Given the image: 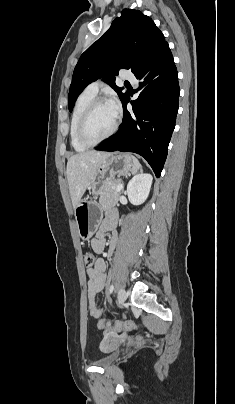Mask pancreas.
<instances>
[{
	"label": "pancreas",
	"instance_id": "pancreas-1",
	"mask_svg": "<svg viewBox=\"0 0 235 404\" xmlns=\"http://www.w3.org/2000/svg\"><path fill=\"white\" fill-rule=\"evenodd\" d=\"M120 184V179H113L106 182L102 186L100 191L99 203L103 208H107L118 202L121 191L116 192V189Z\"/></svg>",
	"mask_w": 235,
	"mask_h": 404
}]
</instances>
